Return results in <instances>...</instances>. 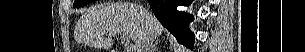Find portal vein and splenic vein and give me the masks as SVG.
<instances>
[{"label": "portal vein and splenic vein", "mask_w": 305, "mask_h": 52, "mask_svg": "<svg viewBox=\"0 0 305 52\" xmlns=\"http://www.w3.org/2000/svg\"><path fill=\"white\" fill-rule=\"evenodd\" d=\"M120 39L122 43L125 44L127 52H133L134 47L132 45H129L128 37L126 35H121Z\"/></svg>", "instance_id": "portal-vein-and-splenic-vein-1"}]
</instances>
